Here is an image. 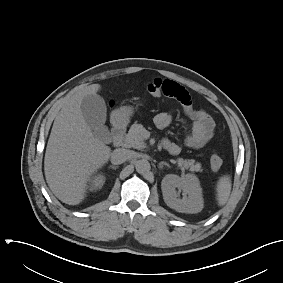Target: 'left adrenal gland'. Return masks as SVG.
<instances>
[{"mask_svg":"<svg viewBox=\"0 0 283 283\" xmlns=\"http://www.w3.org/2000/svg\"><path fill=\"white\" fill-rule=\"evenodd\" d=\"M163 166L170 167V165H169L168 163H166V162H160L159 165H158V168H159V169H162Z\"/></svg>","mask_w":283,"mask_h":283,"instance_id":"1","label":"left adrenal gland"}]
</instances>
